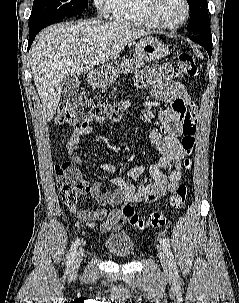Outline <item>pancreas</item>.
Here are the masks:
<instances>
[{"label":"pancreas","instance_id":"cf45deb5","mask_svg":"<svg viewBox=\"0 0 239 303\" xmlns=\"http://www.w3.org/2000/svg\"><path fill=\"white\" fill-rule=\"evenodd\" d=\"M144 62L142 60L123 58L121 61L120 67H118L119 72H123L125 74L132 73L138 68L144 66Z\"/></svg>","mask_w":239,"mask_h":303}]
</instances>
